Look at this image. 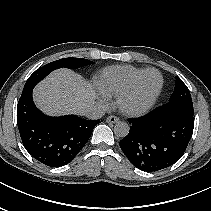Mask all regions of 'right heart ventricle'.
Returning <instances> with one entry per match:
<instances>
[{"instance_id": "obj_1", "label": "right heart ventricle", "mask_w": 211, "mask_h": 211, "mask_svg": "<svg viewBox=\"0 0 211 211\" xmlns=\"http://www.w3.org/2000/svg\"><path fill=\"white\" fill-rule=\"evenodd\" d=\"M145 69L133 66H114L104 69L97 84L103 93L118 96L125 91Z\"/></svg>"}]
</instances>
